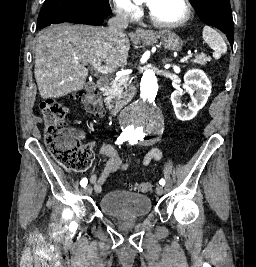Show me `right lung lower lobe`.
Returning a JSON list of instances; mask_svg holds the SVG:
<instances>
[{"label":"right lung lower lobe","mask_w":256,"mask_h":267,"mask_svg":"<svg viewBox=\"0 0 256 267\" xmlns=\"http://www.w3.org/2000/svg\"><path fill=\"white\" fill-rule=\"evenodd\" d=\"M105 17L94 16L88 13L80 14L77 16H56L48 19L42 23H38L40 28L49 26L50 24H58L63 22H72L76 24L100 25L103 23Z\"/></svg>","instance_id":"98d812e1"}]
</instances>
